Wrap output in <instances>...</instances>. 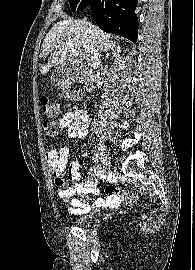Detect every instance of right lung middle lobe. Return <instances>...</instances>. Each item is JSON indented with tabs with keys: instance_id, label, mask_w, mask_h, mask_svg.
<instances>
[{
	"instance_id": "dd1d6c3e",
	"label": "right lung middle lobe",
	"mask_w": 195,
	"mask_h": 270,
	"mask_svg": "<svg viewBox=\"0 0 195 270\" xmlns=\"http://www.w3.org/2000/svg\"><path fill=\"white\" fill-rule=\"evenodd\" d=\"M81 1L82 0H69L70 7H71L73 12H75L76 9H77V11H79V10L83 9L84 7H86L87 4L84 2L81 3Z\"/></svg>"
}]
</instances>
